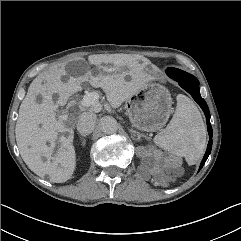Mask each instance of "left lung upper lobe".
<instances>
[{
	"label": "left lung upper lobe",
	"mask_w": 241,
	"mask_h": 241,
	"mask_svg": "<svg viewBox=\"0 0 241 241\" xmlns=\"http://www.w3.org/2000/svg\"><path fill=\"white\" fill-rule=\"evenodd\" d=\"M167 72H168V73H173V72L181 73V72H184V71L179 70V69H176V68H169ZM185 73H186V72H185ZM189 75H190V74H189Z\"/></svg>",
	"instance_id": "left-lung-upper-lobe-1"
}]
</instances>
